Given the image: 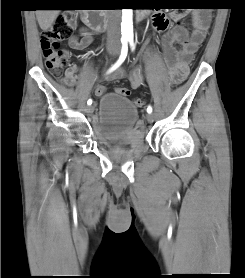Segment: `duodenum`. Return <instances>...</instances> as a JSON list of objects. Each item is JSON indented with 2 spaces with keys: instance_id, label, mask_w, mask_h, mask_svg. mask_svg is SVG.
Wrapping results in <instances>:
<instances>
[{
  "instance_id": "duodenum-1",
  "label": "duodenum",
  "mask_w": 245,
  "mask_h": 278,
  "mask_svg": "<svg viewBox=\"0 0 245 278\" xmlns=\"http://www.w3.org/2000/svg\"><path fill=\"white\" fill-rule=\"evenodd\" d=\"M146 17V12L143 10L137 11V19L143 20ZM83 22L90 28L96 31H103L105 29V19L98 11L87 10L82 14Z\"/></svg>"
}]
</instances>
